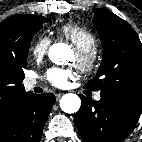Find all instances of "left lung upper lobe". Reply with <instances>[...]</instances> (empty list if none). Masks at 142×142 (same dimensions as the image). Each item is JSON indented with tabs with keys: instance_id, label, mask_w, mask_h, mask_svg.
Segmentation results:
<instances>
[{
	"instance_id": "left-lung-upper-lobe-1",
	"label": "left lung upper lobe",
	"mask_w": 142,
	"mask_h": 142,
	"mask_svg": "<svg viewBox=\"0 0 142 142\" xmlns=\"http://www.w3.org/2000/svg\"><path fill=\"white\" fill-rule=\"evenodd\" d=\"M93 23L104 53L94 79L85 88L103 98L142 108V44L132 27L106 9H94Z\"/></svg>"
}]
</instances>
